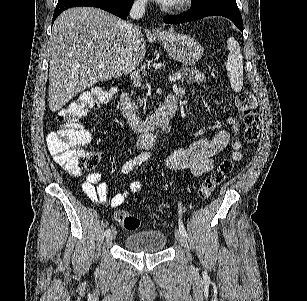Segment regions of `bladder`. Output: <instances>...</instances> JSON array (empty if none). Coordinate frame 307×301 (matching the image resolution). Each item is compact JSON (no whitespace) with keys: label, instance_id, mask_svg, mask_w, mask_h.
Returning <instances> with one entry per match:
<instances>
[{"label":"bladder","instance_id":"bladder-1","mask_svg":"<svg viewBox=\"0 0 307 301\" xmlns=\"http://www.w3.org/2000/svg\"><path fill=\"white\" fill-rule=\"evenodd\" d=\"M167 244L166 233L162 231L134 232L124 240L127 250L138 253L162 251Z\"/></svg>","mask_w":307,"mask_h":301}]
</instances>
